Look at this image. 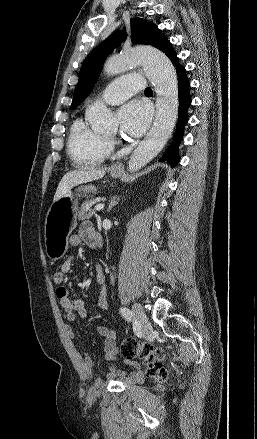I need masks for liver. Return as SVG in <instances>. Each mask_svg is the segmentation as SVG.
Listing matches in <instances>:
<instances>
[{"label":"liver","mask_w":257,"mask_h":439,"mask_svg":"<svg viewBox=\"0 0 257 439\" xmlns=\"http://www.w3.org/2000/svg\"><path fill=\"white\" fill-rule=\"evenodd\" d=\"M105 173H106L105 169H95V168L74 170L67 172L59 182L56 193L54 195L53 202L63 197L73 187L79 184L101 179L102 177H104Z\"/></svg>","instance_id":"6515ba94"}]
</instances>
